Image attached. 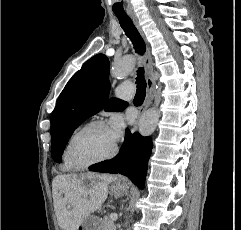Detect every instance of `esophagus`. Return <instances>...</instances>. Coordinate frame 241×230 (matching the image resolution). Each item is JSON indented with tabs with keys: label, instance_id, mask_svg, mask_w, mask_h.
Segmentation results:
<instances>
[{
	"label": "esophagus",
	"instance_id": "esophagus-1",
	"mask_svg": "<svg viewBox=\"0 0 241 230\" xmlns=\"http://www.w3.org/2000/svg\"><path fill=\"white\" fill-rule=\"evenodd\" d=\"M129 16L132 19L135 27L137 28V30L139 31L141 36L144 37L143 31L139 24L137 16L134 13H130ZM144 69H145V80H146V97H145L143 104L139 108L138 119L141 118L143 113L151 105L152 93H153V90H154L155 84H156L155 80L153 79V60H152L150 47L148 48L147 54L145 56ZM137 124L138 123H136L133 130L137 129Z\"/></svg>",
	"mask_w": 241,
	"mask_h": 230
}]
</instances>
